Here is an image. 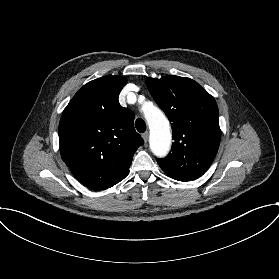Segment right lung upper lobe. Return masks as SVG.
<instances>
[{
  "instance_id": "1",
  "label": "right lung upper lobe",
  "mask_w": 279,
  "mask_h": 279,
  "mask_svg": "<svg viewBox=\"0 0 279 279\" xmlns=\"http://www.w3.org/2000/svg\"><path fill=\"white\" fill-rule=\"evenodd\" d=\"M126 83L122 76L90 81L74 95L60 119L61 157L76 179L92 190L123 180L143 144L133 126L134 113L118 102Z\"/></svg>"
}]
</instances>
